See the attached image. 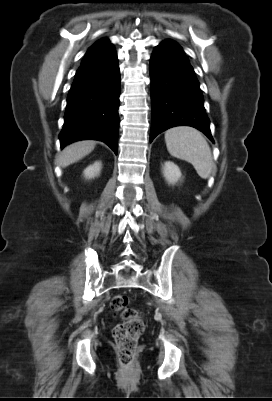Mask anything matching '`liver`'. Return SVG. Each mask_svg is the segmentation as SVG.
<instances>
[{"label":"liver","mask_w":272,"mask_h":401,"mask_svg":"<svg viewBox=\"0 0 272 401\" xmlns=\"http://www.w3.org/2000/svg\"><path fill=\"white\" fill-rule=\"evenodd\" d=\"M96 145L95 141H78L65 147L59 157V164L67 167L91 153Z\"/></svg>","instance_id":"liver-1"}]
</instances>
